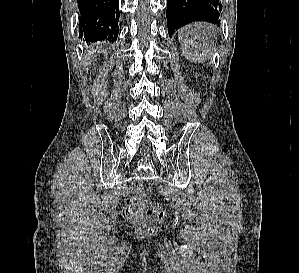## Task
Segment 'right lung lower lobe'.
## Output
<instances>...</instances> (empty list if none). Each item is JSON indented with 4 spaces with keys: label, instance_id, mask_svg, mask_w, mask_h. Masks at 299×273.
<instances>
[{
    "label": "right lung lower lobe",
    "instance_id": "right-lung-lower-lobe-1",
    "mask_svg": "<svg viewBox=\"0 0 299 273\" xmlns=\"http://www.w3.org/2000/svg\"><path fill=\"white\" fill-rule=\"evenodd\" d=\"M119 0H78L79 35L87 42L116 41L118 37Z\"/></svg>",
    "mask_w": 299,
    "mask_h": 273
}]
</instances>
